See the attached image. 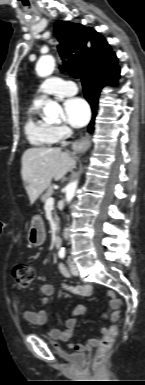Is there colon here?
Segmentation results:
<instances>
[{
  "label": "colon",
  "instance_id": "1",
  "mask_svg": "<svg viewBox=\"0 0 145 385\" xmlns=\"http://www.w3.org/2000/svg\"><path fill=\"white\" fill-rule=\"evenodd\" d=\"M34 277V270L28 264H16L13 268V278L20 287H27ZM74 293L72 287L69 288ZM118 332L117 323H112L108 333L103 337L98 346V359L101 360L110 350L114 337Z\"/></svg>",
  "mask_w": 145,
  "mask_h": 385
}]
</instances>
